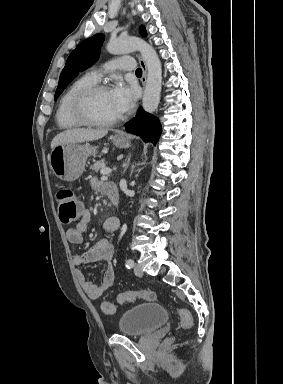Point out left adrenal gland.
I'll use <instances>...</instances> for the list:
<instances>
[{"mask_svg": "<svg viewBox=\"0 0 283 384\" xmlns=\"http://www.w3.org/2000/svg\"><path fill=\"white\" fill-rule=\"evenodd\" d=\"M130 156H131V154H129V156H128V158H127L128 162H127V164H125V170H124V172H126L128 166H129ZM124 172H123V174H124Z\"/></svg>", "mask_w": 283, "mask_h": 384, "instance_id": "left-adrenal-gland-1", "label": "left adrenal gland"}]
</instances>
